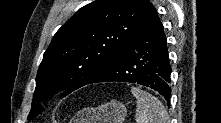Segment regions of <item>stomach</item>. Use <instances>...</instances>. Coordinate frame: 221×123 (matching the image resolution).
Wrapping results in <instances>:
<instances>
[{"mask_svg":"<svg viewBox=\"0 0 221 123\" xmlns=\"http://www.w3.org/2000/svg\"><path fill=\"white\" fill-rule=\"evenodd\" d=\"M126 116V106L122 102L111 101L80 110L70 123H123Z\"/></svg>","mask_w":221,"mask_h":123,"instance_id":"0dacf381","label":"stomach"}]
</instances>
